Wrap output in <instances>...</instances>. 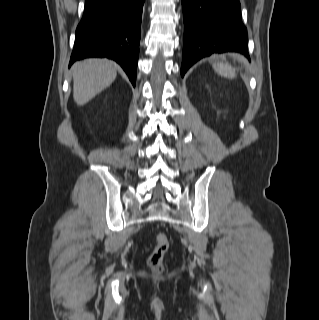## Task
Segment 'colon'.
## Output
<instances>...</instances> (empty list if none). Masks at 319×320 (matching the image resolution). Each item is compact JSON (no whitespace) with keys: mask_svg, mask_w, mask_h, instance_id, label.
Returning <instances> with one entry per match:
<instances>
[{"mask_svg":"<svg viewBox=\"0 0 319 320\" xmlns=\"http://www.w3.org/2000/svg\"><path fill=\"white\" fill-rule=\"evenodd\" d=\"M156 245L153 249V252L149 258V265L154 271H161L162 269V259L164 254L169 248V239L165 233H157Z\"/></svg>","mask_w":319,"mask_h":320,"instance_id":"1","label":"colon"}]
</instances>
